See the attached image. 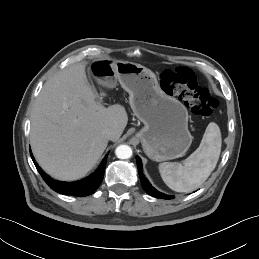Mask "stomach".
<instances>
[{"label":"stomach","mask_w":259,"mask_h":259,"mask_svg":"<svg viewBox=\"0 0 259 259\" xmlns=\"http://www.w3.org/2000/svg\"><path fill=\"white\" fill-rule=\"evenodd\" d=\"M89 73L107 87H114L118 80L129 93L130 106L144 124L136 137L150 159L172 160L186 153L192 143L187 109L161 89L150 69L133 62L104 58L92 61Z\"/></svg>","instance_id":"1"}]
</instances>
